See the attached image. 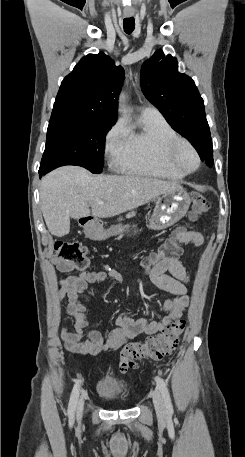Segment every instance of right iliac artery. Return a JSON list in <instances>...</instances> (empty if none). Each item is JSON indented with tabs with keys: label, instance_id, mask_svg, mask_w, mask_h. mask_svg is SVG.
Listing matches in <instances>:
<instances>
[{
	"label": "right iliac artery",
	"instance_id": "1",
	"mask_svg": "<svg viewBox=\"0 0 245 457\" xmlns=\"http://www.w3.org/2000/svg\"><path fill=\"white\" fill-rule=\"evenodd\" d=\"M79 391H80V386H79V381H76V384L73 387L70 401H69V406H68V414L69 415H74L78 397H79Z\"/></svg>",
	"mask_w": 245,
	"mask_h": 457
}]
</instances>
